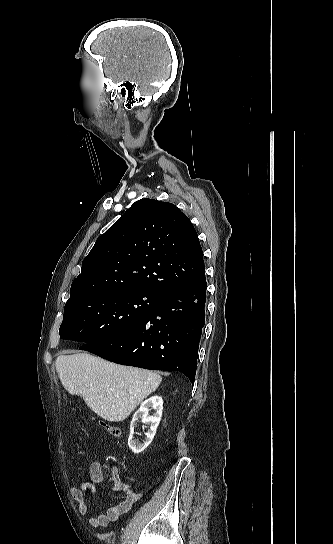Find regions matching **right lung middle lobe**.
I'll use <instances>...</instances> for the list:
<instances>
[{
	"mask_svg": "<svg viewBox=\"0 0 333 544\" xmlns=\"http://www.w3.org/2000/svg\"><path fill=\"white\" fill-rule=\"evenodd\" d=\"M161 297L145 291L104 292L65 305L60 338L81 341L80 349L134 326Z\"/></svg>",
	"mask_w": 333,
	"mask_h": 544,
	"instance_id": "dd1d6c3e",
	"label": "right lung middle lobe"
}]
</instances>
